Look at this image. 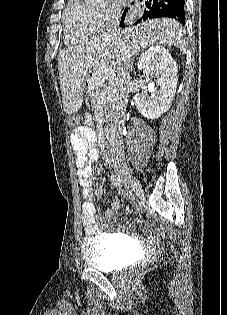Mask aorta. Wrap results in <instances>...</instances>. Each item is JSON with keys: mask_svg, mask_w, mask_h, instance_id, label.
Here are the masks:
<instances>
[{"mask_svg": "<svg viewBox=\"0 0 227 315\" xmlns=\"http://www.w3.org/2000/svg\"><path fill=\"white\" fill-rule=\"evenodd\" d=\"M106 1L107 0H85L87 4H91V5H102L106 3Z\"/></svg>", "mask_w": 227, "mask_h": 315, "instance_id": "762f6f07", "label": "aorta"}]
</instances>
